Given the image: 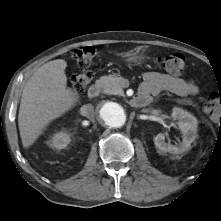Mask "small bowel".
<instances>
[{
	"label": "small bowel",
	"mask_w": 221,
	"mask_h": 221,
	"mask_svg": "<svg viewBox=\"0 0 221 221\" xmlns=\"http://www.w3.org/2000/svg\"><path fill=\"white\" fill-rule=\"evenodd\" d=\"M162 91H169L181 96H195L200 92L192 80L158 72H146L143 75L140 93L155 96Z\"/></svg>",
	"instance_id": "obj_1"
}]
</instances>
